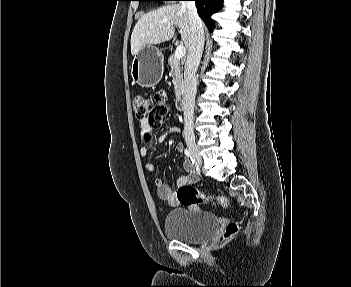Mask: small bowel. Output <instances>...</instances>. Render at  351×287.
Masks as SVG:
<instances>
[{"label":"small bowel","mask_w":351,"mask_h":287,"mask_svg":"<svg viewBox=\"0 0 351 287\" xmlns=\"http://www.w3.org/2000/svg\"><path fill=\"white\" fill-rule=\"evenodd\" d=\"M139 127H140V138L142 143V146L140 148V154L142 157L152 156L153 150H149L148 145H152L153 142L155 141V136H152V133L155 132V127H150L146 119L140 120ZM179 132H180V128L173 127L169 130V132H166L160 135L156 139V141L159 143H162L166 140L169 134H177ZM175 150L178 153L183 152L184 145L182 143H177L175 145ZM183 167L186 172V175L180 177L177 180L176 182L177 187H181L186 184L195 183L197 180V176H196V172L194 170L193 164L189 159L184 160ZM145 169L149 172L155 171L154 163L148 162V161L145 162ZM154 184L156 187L157 195L161 200H164L173 206L178 204L176 193L161 178H155Z\"/></svg>","instance_id":"1"}]
</instances>
